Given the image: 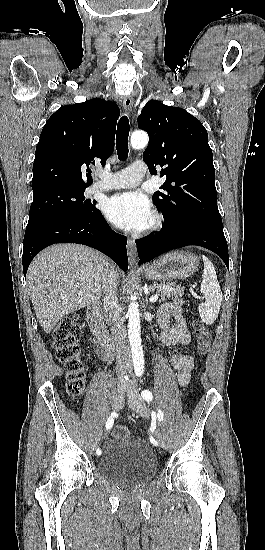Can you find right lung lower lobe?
<instances>
[{"instance_id":"98d812e1","label":"right lung lower lobe","mask_w":265,"mask_h":550,"mask_svg":"<svg viewBox=\"0 0 265 550\" xmlns=\"http://www.w3.org/2000/svg\"><path fill=\"white\" fill-rule=\"evenodd\" d=\"M55 243H79L109 256L122 270L128 269L127 238L115 233L98 210L90 216H60L30 223L23 248L24 275L34 256Z\"/></svg>"}]
</instances>
